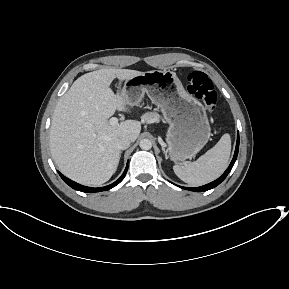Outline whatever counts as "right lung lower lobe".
I'll list each match as a JSON object with an SVG mask.
<instances>
[{
    "label": "right lung lower lobe",
    "mask_w": 289,
    "mask_h": 289,
    "mask_svg": "<svg viewBox=\"0 0 289 289\" xmlns=\"http://www.w3.org/2000/svg\"><path fill=\"white\" fill-rule=\"evenodd\" d=\"M127 170H128V165L126 166L125 171L123 172V174L121 175V177L117 181H115L114 183H112L108 186L100 187V188H92V187L82 186V185L77 184L76 182L68 179L67 177L63 176L60 172H58V173L61 176V178L64 180V182L75 190H78L81 192H100V191L109 190V189L115 187L117 184H119L124 179V177L127 173Z\"/></svg>",
    "instance_id": "obj_1"
}]
</instances>
